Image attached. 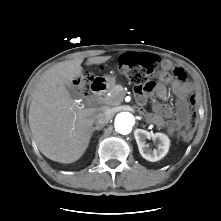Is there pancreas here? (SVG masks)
I'll return each mask as SVG.
<instances>
[{"label":"pancreas","mask_w":221,"mask_h":221,"mask_svg":"<svg viewBox=\"0 0 221 221\" xmlns=\"http://www.w3.org/2000/svg\"><path fill=\"white\" fill-rule=\"evenodd\" d=\"M109 92L110 95L104 98V103L107 106H117L121 104L126 95V92L122 85L113 86Z\"/></svg>","instance_id":"cf45deb5"}]
</instances>
